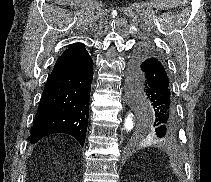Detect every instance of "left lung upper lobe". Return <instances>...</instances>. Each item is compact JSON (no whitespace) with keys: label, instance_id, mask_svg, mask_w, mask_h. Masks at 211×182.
<instances>
[{"label":"left lung upper lobe","instance_id":"obj_1","mask_svg":"<svg viewBox=\"0 0 211 182\" xmlns=\"http://www.w3.org/2000/svg\"><path fill=\"white\" fill-rule=\"evenodd\" d=\"M145 132L148 134L149 132H152V131H151L150 128H146V131Z\"/></svg>","mask_w":211,"mask_h":182}]
</instances>
